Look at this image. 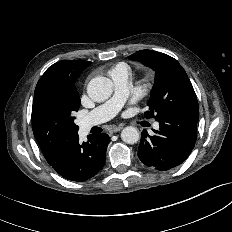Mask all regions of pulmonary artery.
Masks as SVG:
<instances>
[{
    "mask_svg": "<svg viewBox=\"0 0 232 232\" xmlns=\"http://www.w3.org/2000/svg\"><path fill=\"white\" fill-rule=\"evenodd\" d=\"M114 83V95L104 104L89 112L80 122L83 132H87L93 126L106 122L113 118L122 108L130 92L129 71L116 70L110 74ZM156 129L159 125L154 124Z\"/></svg>",
    "mask_w": 232,
    "mask_h": 232,
    "instance_id": "obj_1",
    "label": "pulmonary artery"
}]
</instances>
